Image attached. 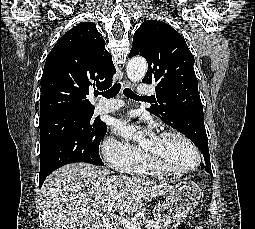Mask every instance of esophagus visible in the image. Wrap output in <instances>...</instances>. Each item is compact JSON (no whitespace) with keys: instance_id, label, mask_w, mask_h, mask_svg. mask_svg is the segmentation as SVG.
<instances>
[{"instance_id":"esophagus-1","label":"esophagus","mask_w":255,"mask_h":229,"mask_svg":"<svg viewBox=\"0 0 255 229\" xmlns=\"http://www.w3.org/2000/svg\"><path fill=\"white\" fill-rule=\"evenodd\" d=\"M123 86H124L125 88H131V87H133V84H132L127 78H124V80H123Z\"/></svg>"}]
</instances>
